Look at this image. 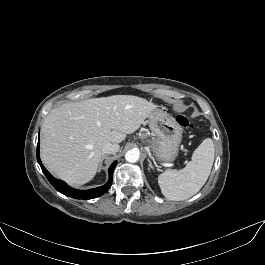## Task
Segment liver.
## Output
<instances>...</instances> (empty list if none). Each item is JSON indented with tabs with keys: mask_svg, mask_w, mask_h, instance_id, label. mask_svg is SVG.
Instances as JSON below:
<instances>
[{
	"mask_svg": "<svg viewBox=\"0 0 265 265\" xmlns=\"http://www.w3.org/2000/svg\"><path fill=\"white\" fill-rule=\"evenodd\" d=\"M144 98L113 95L66 103L49 112L42 125L41 159L57 178L73 186L96 174L105 143L119 144L156 109Z\"/></svg>",
	"mask_w": 265,
	"mask_h": 265,
	"instance_id": "6515ba94",
	"label": "liver"
}]
</instances>
